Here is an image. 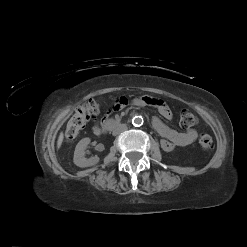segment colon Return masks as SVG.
I'll return each instance as SVG.
<instances>
[{
    "instance_id": "1",
    "label": "colon",
    "mask_w": 247,
    "mask_h": 247,
    "mask_svg": "<svg viewBox=\"0 0 247 247\" xmlns=\"http://www.w3.org/2000/svg\"><path fill=\"white\" fill-rule=\"evenodd\" d=\"M101 104L95 100H89L79 106L67 123L65 138L68 142L74 141L86 124L99 114ZM198 123L197 116L189 109H183L180 113V124L185 128H190ZM198 144L202 150H210L213 146V138L208 133L199 136Z\"/></svg>"
}]
</instances>
